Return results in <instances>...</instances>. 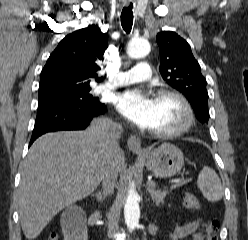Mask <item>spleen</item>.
I'll list each match as a JSON object with an SVG mask.
<instances>
[{
	"mask_svg": "<svg viewBox=\"0 0 248 240\" xmlns=\"http://www.w3.org/2000/svg\"><path fill=\"white\" fill-rule=\"evenodd\" d=\"M197 185L208 201L216 202L222 199L223 187L221 180L212 168L205 166L202 169Z\"/></svg>",
	"mask_w": 248,
	"mask_h": 240,
	"instance_id": "3e777b00",
	"label": "spleen"
}]
</instances>
